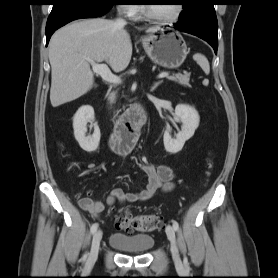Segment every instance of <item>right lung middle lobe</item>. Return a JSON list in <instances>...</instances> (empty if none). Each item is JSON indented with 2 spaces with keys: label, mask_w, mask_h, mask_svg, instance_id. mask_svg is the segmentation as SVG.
Here are the masks:
<instances>
[{
  "label": "right lung middle lobe",
  "mask_w": 278,
  "mask_h": 278,
  "mask_svg": "<svg viewBox=\"0 0 278 278\" xmlns=\"http://www.w3.org/2000/svg\"><path fill=\"white\" fill-rule=\"evenodd\" d=\"M53 4V9L59 7L66 2L83 3L93 6H98L102 8H111L115 3V0H51Z\"/></svg>",
  "instance_id": "right-lung-middle-lobe-1"
}]
</instances>
